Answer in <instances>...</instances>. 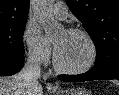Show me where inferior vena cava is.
Listing matches in <instances>:
<instances>
[{
	"label": "inferior vena cava",
	"mask_w": 119,
	"mask_h": 95,
	"mask_svg": "<svg viewBox=\"0 0 119 95\" xmlns=\"http://www.w3.org/2000/svg\"><path fill=\"white\" fill-rule=\"evenodd\" d=\"M41 58L39 55H29L22 71L19 74L20 79L27 83H36L40 78Z\"/></svg>",
	"instance_id": "1"
}]
</instances>
